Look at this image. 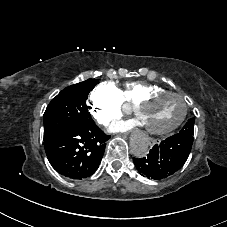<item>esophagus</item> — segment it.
I'll return each mask as SVG.
<instances>
[{"mask_svg": "<svg viewBox=\"0 0 227 227\" xmlns=\"http://www.w3.org/2000/svg\"><path fill=\"white\" fill-rule=\"evenodd\" d=\"M155 145H156V140L155 139H150L149 142L147 143V148L148 149H153Z\"/></svg>", "mask_w": 227, "mask_h": 227, "instance_id": "obj_1", "label": "esophagus"}]
</instances>
